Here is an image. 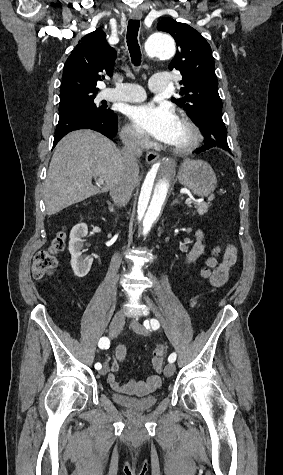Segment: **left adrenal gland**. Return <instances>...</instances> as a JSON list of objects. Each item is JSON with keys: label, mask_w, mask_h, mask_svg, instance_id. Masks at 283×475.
<instances>
[{"label": "left adrenal gland", "mask_w": 283, "mask_h": 475, "mask_svg": "<svg viewBox=\"0 0 283 475\" xmlns=\"http://www.w3.org/2000/svg\"><path fill=\"white\" fill-rule=\"evenodd\" d=\"M174 204H179V200H178V198H176V200H173V202H172L171 206H174Z\"/></svg>", "instance_id": "a2214340"}]
</instances>
